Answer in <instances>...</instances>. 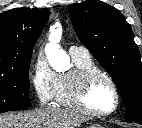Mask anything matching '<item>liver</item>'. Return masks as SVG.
<instances>
[{
  "label": "liver",
  "mask_w": 142,
  "mask_h": 128,
  "mask_svg": "<svg viewBox=\"0 0 142 128\" xmlns=\"http://www.w3.org/2000/svg\"><path fill=\"white\" fill-rule=\"evenodd\" d=\"M85 117L69 110L48 107L0 115V128H76Z\"/></svg>",
  "instance_id": "6515ba94"
}]
</instances>
